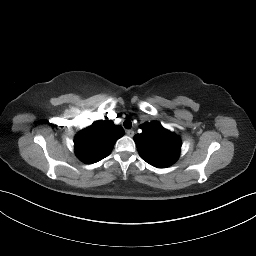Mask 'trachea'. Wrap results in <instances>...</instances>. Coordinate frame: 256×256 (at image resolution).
Instances as JSON below:
<instances>
[{
    "label": "trachea",
    "mask_w": 256,
    "mask_h": 256,
    "mask_svg": "<svg viewBox=\"0 0 256 256\" xmlns=\"http://www.w3.org/2000/svg\"><path fill=\"white\" fill-rule=\"evenodd\" d=\"M123 125L126 129H130L132 127V122L129 119H127L124 121Z\"/></svg>",
    "instance_id": "3493384b"
}]
</instances>
